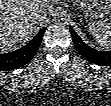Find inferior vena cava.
Segmentation results:
<instances>
[{
  "label": "inferior vena cava",
  "instance_id": "602c4592",
  "mask_svg": "<svg viewBox=\"0 0 111 106\" xmlns=\"http://www.w3.org/2000/svg\"><path fill=\"white\" fill-rule=\"evenodd\" d=\"M41 17H42L41 12H39V14H38V18H41Z\"/></svg>",
  "mask_w": 111,
  "mask_h": 106
}]
</instances>
